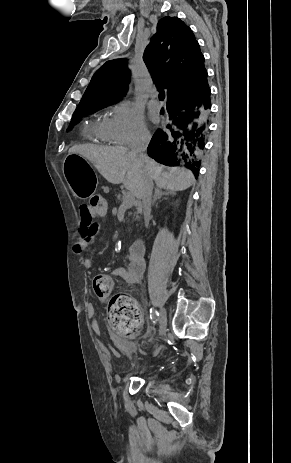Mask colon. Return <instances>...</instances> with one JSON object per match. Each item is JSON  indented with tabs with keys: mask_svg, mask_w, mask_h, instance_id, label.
<instances>
[{
	"mask_svg": "<svg viewBox=\"0 0 291 463\" xmlns=\"http://www.w3.org/2000/svg\"><path fill=\"white\" fill-rule=\"evenodd\" d=\"M89 207L95 210L96 217L106 216V202L100 196H94L90 205H84V210L89 212ZM114 283L108 275H97L93 279V290L100 299H107L113 292ZM108 316L115 332L120 335L130 336L137 333L141 318L137 303L127 296H113L108 306Z\"/></svg>",
	"mask_w": 291,
	"mask_h": 463,
	"instance_id": "obj_1",
	"label": "colon"
}]
</instances>
